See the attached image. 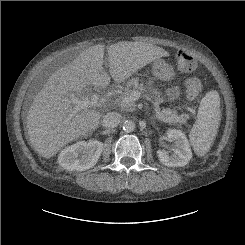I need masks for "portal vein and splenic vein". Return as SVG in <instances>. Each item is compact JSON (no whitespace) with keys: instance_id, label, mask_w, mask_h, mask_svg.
Segmentation results:
<instances>
[{"instance_id":"1","label":"portal vein and splenic vein","mask_w":245,"mask_h":245,"mask_svg":"<svg viewBox=\"0 0 245 245\" xmlns=\"http://www.w3.org/2000/svg\"><path fill=\"white\" fill-rule=\"evenodd\" d=\"M140 93L138 91H133L129 96L121 100H115L116 105L126 106L127 104L134 102L139 99ZM70 100L72 101L74 107L72 112L69 114V119H71L79 111L91 108V107H102L105 104L104 100H99L97 95L91 96V98L79 99L75 94L69 95Z\"/></svg>"}]
</instances>
